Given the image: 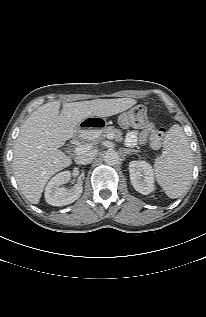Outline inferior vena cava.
Here are the masks:
<instances>
[{"instance_id":"602c4592","label":"inferior vena cava","mask_w":206,"mask_h":317,"mask_svg":"<svg viewBox=\"0 0 206 317\" xmlns=\"http://www.w3.org/2000/svg\"><path fill=\"white\" fill-rule=\"evenodd\" d=\"M95 156H96V152H94V151L83 153V154L78 155L75 158V162L77 164L86 165V164L91 163Z\"/></svg>"}]
</instances>
